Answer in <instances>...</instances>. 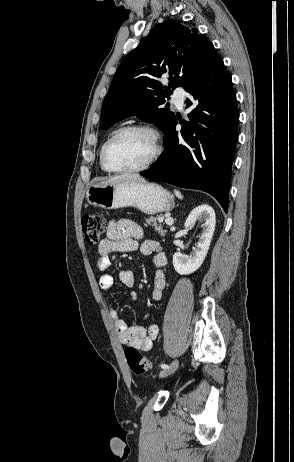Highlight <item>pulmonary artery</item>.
<instances>
[{
  "mask_svg": "<svg viewBox=\"0 0 294 462\" xmlns=\"http://www.w3.org/2000/svg\"><path fill=\"white\" fill-rule=\"evenodd\" d=\"M186 93L181 88H176L172 95L173 103L179 108L183 109Z\"/></svg>",
  "mask_w": 294,
  "mask_h": 462,
  "instance_id": "e3ab8cb5",
  "label": "pulmonary artery"
}]
</instances>
